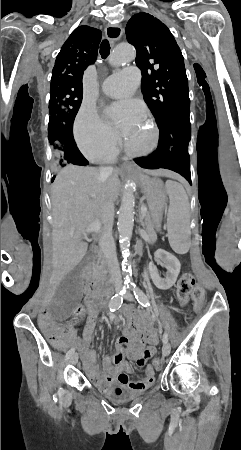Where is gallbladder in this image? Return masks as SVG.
Wrapping results in <instances>:
<instances>
[{"label":"gallbladder","mask_w":241,"mask_h":450,"mask_svg":"<svg viewBox=\"0 0 241 450\" xmlns=\"http://www.w3.org/2000/svg\"><path fill=\"white\" fill-rule=\"evenodd\" d=\"M91 258H93V254L89 252L79 262L77 270H69V273L63 277V281H60L54 300L48 301V310H53V319L57 323H66L69 315H74V311L80 305L82 270Z\"/></svg>","instance_id":"obj_1"}]
</instances>
